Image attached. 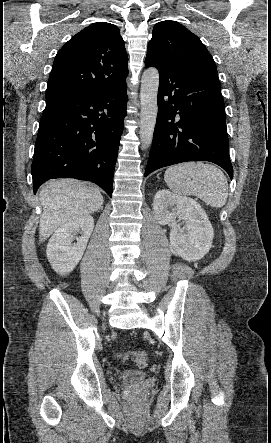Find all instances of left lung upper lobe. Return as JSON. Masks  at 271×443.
Listing matches in <instances>:
<instances>
[{
  "label": "left lung upper lobe",
  "mask_w": 271,
  "mask_h": 443,
  "mask_svg": "<svg viewBox=\"0 0 271 443\" xmlns=\"http://www.w3.org/2000/svg\"><path fill=\"white\" fill-rule=\"evenodd\" d=\"M147 56L167 64L218 75L215 62L200 39L178 22L157 23L148 44Z\"/></svg>",
  "instance_id": "left-lung-upper-lobe-1"
}]
</instances>
